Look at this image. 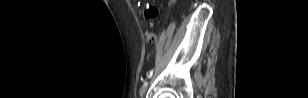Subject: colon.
I'll return each instance as SVG.
<instances>
[{
  "label": "colon",
  "mask_w": 308,
  "mask_h": 98,
  "mask_svg": "<svg viewBox=\"0 0 308 98\" xmlns=\"http://www.w3.org/2000/svg\"><path fill=\"white\" fill-rule=\"evenodd\" d=\"M156 14H157V9H155V8H150V9L146 10V12H145L146 17H153ZM147 38H148L149 41L155 40V36L151 33L147 34Z\"/></svg>",
  "instance_id": "1"
}]
</instances>
